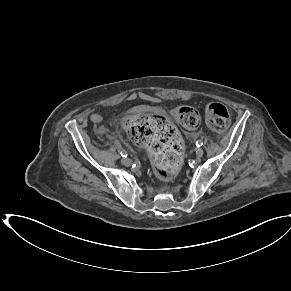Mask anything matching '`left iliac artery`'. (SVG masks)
Returning a JSON list of instances; mask_svg holds the SVG:
<instances>
[{
	"label": "left iliac artery",
	"instance_id": "obj_1",
	"mask_svg": "<svg viewBox=\"0 0 291 291\" xmlns=\"http://www.w3.org/2000/svg\"><path fill=\"white\" fill-rule=\"evenodd\" d=\"M203 145V142L201 141V140H198L197 142H196V146L197 147H201Z\"/></svg>",
	"mask_w": 291,
	"mask_h": 291
}]
</instances>
